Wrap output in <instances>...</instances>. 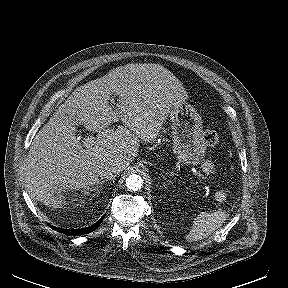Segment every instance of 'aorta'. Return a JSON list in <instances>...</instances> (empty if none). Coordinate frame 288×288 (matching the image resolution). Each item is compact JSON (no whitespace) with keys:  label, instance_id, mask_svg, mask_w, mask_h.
Masks as SVG:
<instances>
[{"label":"aorta","instance_id":"762f6f07","mask_svg":"<svg viewBox=\"0 0 288 288\" xmlns=\"http://www.w3.org/2000/svg\"><path fill=\"white\" fill-rule=\"evenodd\" d=\"M143 186V179L140 175L132 174L126 178V187L130 191H138Z\"/></svg>","mask_w":288,"mask_h":288}]
</instances>
